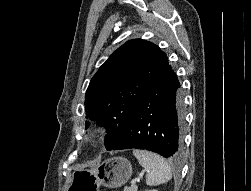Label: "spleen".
Instances as JSON below:
<instances>
[{
    "instance_id": "obj_1",
    "label": "spleen",
    "mask_w": 251,
    "mask_h": 191,
    "mask_svg": "<svg viewBox=\"0 0 251 191\" xmlns=\"http://www.w3.org/2000/svg\"><path fill=\"white\" fill-rule=\"evenodd\" d=\"M133 155L137 157L140 165L147 169V185H159V183H166L171 179V167L161 155L146 151V149H133Z\"/></svg>"
}]
</instances>
